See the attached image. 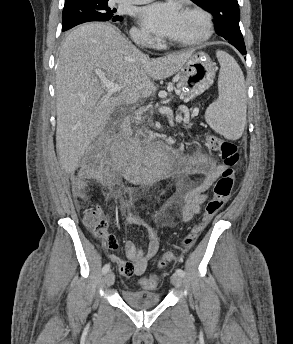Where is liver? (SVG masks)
<instances>
[{
	"label": "liver",
	"instance_id": "1",
	"mask_svg": "<svg viewBox=\"0 0 293 344\" xmlns=\"http://www.w3.org/2000/svg\"><path fill=\"white\" fill-rule=\"evenodd\" d=\"M192 51L149 58L113 26L82 25L62 42L56 68V149L62 169L72 174L112 111L156 91L153 80L175 74ZM102 78L122 86L106 94Z\"/></svg>",
	"mask_w": 293,
	"mask_h": 344
}]
</instances>
